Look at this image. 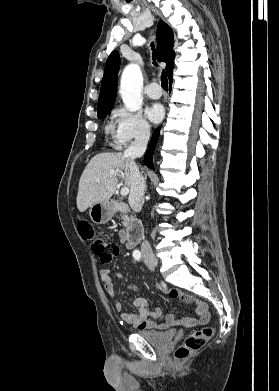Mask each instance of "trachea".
<instances>
[{
    "instance_id": "obj_1",
    "label": "trachea",
    "mask_w": 279,
    "mask_h": 391,
    "mask_svg": "<svg viewBox=\"0 0 279 391\" xmlns=\"http://www.w3.org/2000/svg\"><path fill=\"white\" fill-rule=\"evenodd\" d=\"M151 47H152V51H153V56H152V59H153V64L155 66H158V64L155 62V46H154V43L151 44ZM161 84H162V87L163 89L165 90H168V80H167V75H166V72L163 70L162 71V74H161Z\"/></svg>"
}]
</instances>
